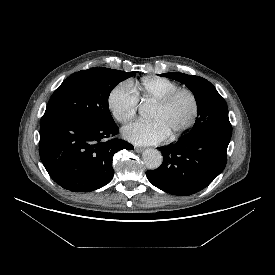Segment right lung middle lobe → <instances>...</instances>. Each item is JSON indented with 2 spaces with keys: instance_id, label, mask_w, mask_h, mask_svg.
Returning a JSON list of instances; mask_svg holds the SVG:
<instances>
[{
  "instance_id": "1",
  "label": "right lung middle lobe",
  "mask_w": 275,
  "mask_h": 275,
  "mask_svg": "<svg viewBox=\"0 0 275 275\" xmlns=\"http://www.w3.org/2000/svg\"><path fill=\"white\" fill-rule=\"evenodd\" d=\"M135 74V71L104 67L76 72L55 90L44 117L68 115L113 124L108 106L110 92L118 83Z\"/></svg>"
}]
</instances>
